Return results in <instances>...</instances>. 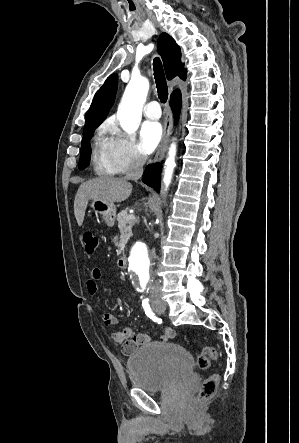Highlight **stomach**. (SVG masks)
Returning <instances> with one entry per match:
<instances>
[{
  "instance_id": "1",
  "label": "stomach",
  "mask_w": 299,
  "mask_h": 443,
  "mask_svg": "<svg viewBox=\"0 0 299 443\" xmlns=\"http://www.w3.org/2000/svg\"><path fill=\"white\" fill-rule=\"evenodd\" d=\"M91 210L96 215H101L107 226L112 227L116 218V206L103 199H93L91 203Z\"/></svg>"
}]
</instances>
